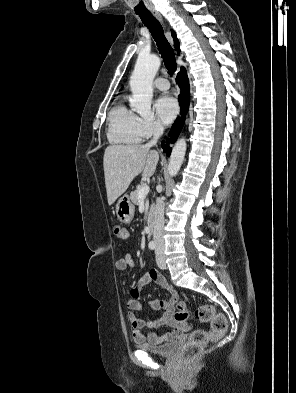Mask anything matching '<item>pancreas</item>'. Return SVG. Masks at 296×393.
I'll list each match as a JSON object with an SVG mask.
<instances>
[{"label":"pancreas","mask_w":296,"mask_h":393,"mask_svg":"<svg viewBox=\"0 0 296 393\" xmlns=\"http://www.w3.org/2000/svg\"><path fill=\"white\" fill-rule=\"evenodd\" d=\"M144 185H145V184H140V185H138V186L136 187V189H135L134 191H132L131 194H130V199H131V201H132L135 205H138V204H139L138 193H139V191L142 189V187H143ZM151 215H152V206L150 207V210H149V218H150Z\"/></svg>","instance_id":"obj_1"}]
</instances>
